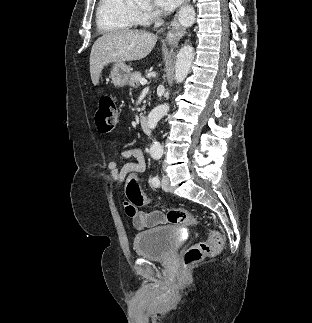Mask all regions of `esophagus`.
I'll return each instance as SVG.
<instances>
[{
	"instance_id": "esophagus-1",
	"label": "esophagus",
	"mask_w": 312,
	"mask_h": 323,
	"mask_svg": "<svg viewBox=\"0 0 312 323\" xmlns=\"http://www.w3.org/2000/svg\"><path fill=\"white\" fill-rule=\"evenodd\" d=\"M190 0H184L183 5L189 3ZM180 10H177L172 22H171V29L167 33L166 40L170 46H176L179 40L185 35L186 30L183 26H181L178 22Z\"/></svg>"
}]
</instances>
